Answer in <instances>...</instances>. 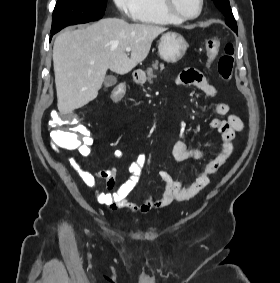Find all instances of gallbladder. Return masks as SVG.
Returning a JSON list of instances; mask_svg holds the SVG:
<instances>
[{
    "instance_id": "gallbladder-1",
    "label": "gallbladder",
    "mask_w": 280,
    "mask_h": 283,
    "mask_svg": "<svg viewBox=\"0 0 280 283\" xmlns=\"http://www.w3.org/2000/svg\"><path fill=\"white\" fill-rule=\"evenodd\" d=\"M116 83H117V78L113 75L106 76V78L104 80V86L106 88L114 86Z\"/></svg>"
}]
</instances>
